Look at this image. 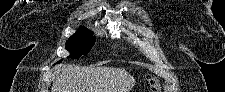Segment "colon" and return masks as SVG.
Returning <instances> with one entry per match:
<instances>
[{
	"instance_id": "1",
	"label": "colon",
	"mask_w": 225,
	"mask_h": 92,
	"mask_svg": "<svg viewBox=\"0 0 225 92\" xmlns=\"http://www.w3.org/2000/svg\"><path fill=\"white\" fill-rule=\"evenodd\" d=\"M150 83H151V87H152V90L153 92H159L160 89H159V86L157 84L156 81H154L153 79L150 80Z\"/></svg>"
}]
</instances>
